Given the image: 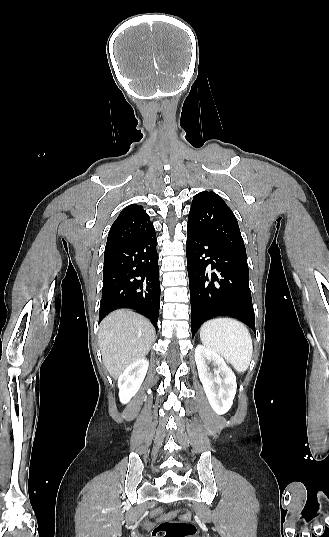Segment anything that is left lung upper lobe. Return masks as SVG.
<instances>
[{"label":"left lung upper lobe","instance_id":"obj_1","mask_svg":"<svg viewBox=\"0 0 329 537\" xmlns=\"http://www.w3.org/2000/svg\"><path fill=\"white\" fill-rule=\"evenodd\" d=\"M188 225L211 242L247 257L235 215L214 192L194 196Z\"/></svg>","mask_w":329,"mask_h":537}]
</instances>
